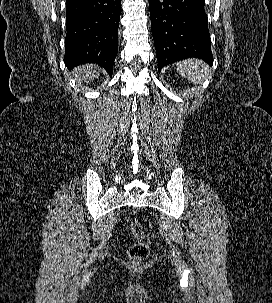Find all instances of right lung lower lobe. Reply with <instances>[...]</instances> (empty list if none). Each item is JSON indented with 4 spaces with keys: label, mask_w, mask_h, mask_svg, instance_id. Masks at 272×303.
Returning <instances> with one entry per match:
<instances>
[{
    "label": "right lung lower lobe",
    "mask_w": 272,
    "mask_h": 303,
    "mask_svg": "<svg viewBox=\"0 0 272 303\" xmlns=\"http://www.w3.org/2000/svg\"><path fill=\"white\" fill-rule=\"evenodd\" d=\"M121 0L66 2L65 65L96 63L109 75L117 55Z\"/></svg>",
    "instance_id": "1"
}]
</instances>
